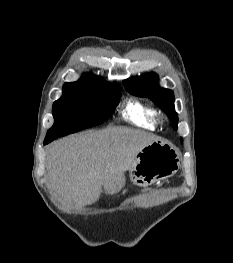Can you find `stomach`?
Segmentation results:
<instances>
[{
  "label": "stomach",
  "mask_w": 233,
  "mask_h": 263,
  "mask_svg": "<svg viewBox=\"0 0 233 263\" xmlns=\"http://www.w3.org/2000/svg\"><path fill=\"white\" fill-rule=\"evenodd\" d=\"M180 166V152L172 144L162 140H155L142 148L129 170L133 184L147 187L160 180L173 176ZM125 185V179L115 188L108 190L116 194Z\"/></svg>",
  "instance_id": "0dacf381"
}]
</instances>
